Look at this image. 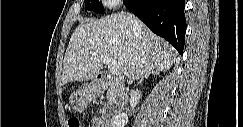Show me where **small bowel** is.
Segmentation results:
<instances>
[{"instance_id":"small-bowel-1","label":"small bowel","mask_w":243,"mask_h":127,"mask_svg":"<svg viewBox=\"0 0 243 127\" xmlns=\"http://www.w3.org/2000/svg\"><path fill=\"white\" fill-rule=\"evenodd\" d=\"M89 126L90 127H105V126H101L100 119H98V118H95V119L91 120Z\"/></svg>"}]
</instances>
